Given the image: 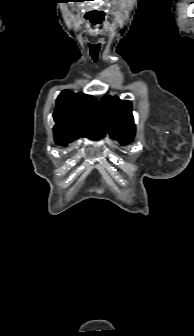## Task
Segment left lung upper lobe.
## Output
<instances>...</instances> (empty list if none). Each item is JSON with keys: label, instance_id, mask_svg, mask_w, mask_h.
I'll return each instance as SVG.
<instances>
[{"label": "left lung upper lobe", "instance_id": "5c2ea615", "mask_svg": "<svg viewBox=\"0 0 194 336\" xmlns=\"http://www.w3.org/2000/svg\"><path fill=\"white\" fill-rule=\"evenodd\" d=\"M101 106L111 137L122 144L130 142L135 132L131 102L105 96L101 100Z\"/></svg>", "mask_w": 194, "mask_h": 336}]
</instances>
